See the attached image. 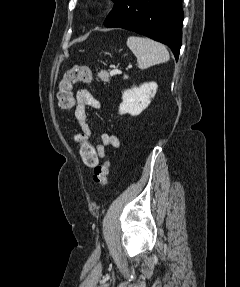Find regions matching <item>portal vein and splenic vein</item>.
<instances>
[{
	"instance_id": "portal-vein-and-splenic-vein-1",
	"label": "portal vein and splenic vein",
	"mask_w": 240,
	"mask_h": 287,
	"mask_svg": "<svg viewBox=\"0 0 240 287\" xmlns=\"http://www.w3.org/2000/svg\"><path fill=\"white\" fill-rule=\"evenodd\" d=\"M131 68H132V65H128L127 69H131ZM118 73H120V71L117 68L110 71L111 76L118 74Z\"/></svg>"
}]
</instances>
